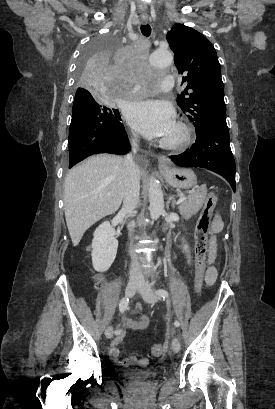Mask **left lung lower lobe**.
Listing matches in <instances>:
<instances>
[{
    "mask_svg": "<svg viewBox=\"0 0 275 409\" xmlns=\"http://www.w3.org/2000/svg\"><path fill=\"white\" fill-rule=\"evenodd\" d=\"M195 144L171 160L184 167H201L223 176L235 191V160L233 158L227 125L212 124L196 133Z\"/></svg>",
    "mask_w": 275,
    "mask_h": 409,
    "instance_id": "left-lung-lower-lobe-1",
    "label": "left lung lower lobe"
}]
</instances>
